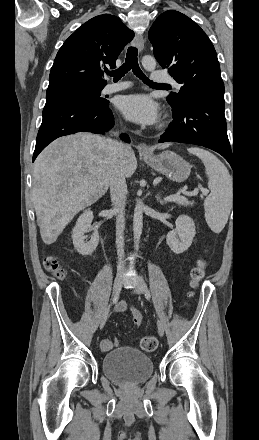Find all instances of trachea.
Masks as SVG:
<instances>
[{
    "mask_svg": "<svg viewBox=\"0 0 259 440\" xmlns=\"http://www.w3.org/2000/svg\"><path fill=\"white\" fill-rule=\"evenodd\" d=\"M138 50L136 47H129L126 54L125 63L119 67L117 70L107 72L108 75L113 76L114 81L120 80L128 71L132 69L133 73L141 79L143 82L149 85L157 86H169L166 84H157L150 81L139 67L137 61Z\"/></svg>",
    "mask_w": 259,
    "mask_h": 440,
    "instance_id": "3493384b",
    "label": "trachea"
}]
</instances>
